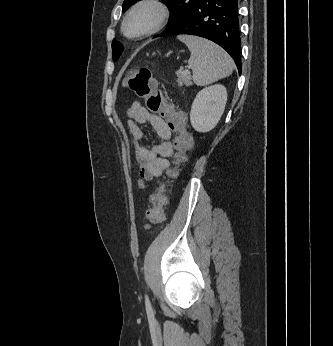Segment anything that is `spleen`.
I'll use <instances>...</instances> for the list:
<instances>
[{
    "mask_svg": "<svg viewBox=\"0 0 333 346\" xmlns=\"http://www.w3.org/2000/svg\"><path fill=\"white\" fill-rule=\"evenodd\" d=\"M191 52L189 66L198 86L213 83L233 72V61L218 45L196 36H179Z\"/></svg>",
    "mask_w": 333,
    "mask_h": 346,
    "instance_id": "spleen-1",
    "label": "spleen"
}]
</instances>
